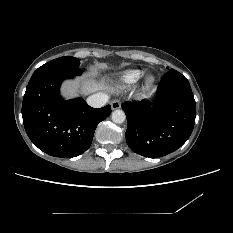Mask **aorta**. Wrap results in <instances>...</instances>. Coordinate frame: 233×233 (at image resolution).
<instances>
[{
    "label": "aorta",
    "mask_w": 233,
    "mask_h": 233,
    "mask_svg": "<svg viewBox=\"0 0 233 233\" xmlns=\"http://www.w3.org/2000/svg\"><path fill=\"white\" fill-rule=\"evenodd\" d=\"M126 119V115L124 113V111L122 110H115L113 113H112V121L114 123H117V124H120V123H123Z\"/></svg>",
    "instance_id": "obj_1"
}]
</instances>
